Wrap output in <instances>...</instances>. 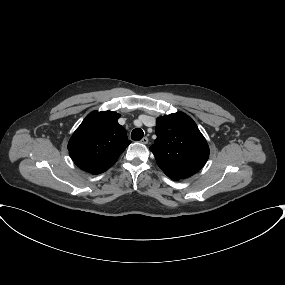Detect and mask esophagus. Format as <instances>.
Wrapping results in <instances>:
<instances>
[{
    "label": "esophagus",
    "instance_id": "1",
    "mask_svg": "<svg viewBox=\"0 0 285 285\" xmlns=\"http://www.w3.org/2000/svg\"><path fill=\"white\" fill-rule=\"evenodd\" d=\"M140 142L142 144H147L148 143V138L147 137H143Z\"/></svg>",
    "mask_w": 285,
    "mask_h": 285
}]
</instances>
